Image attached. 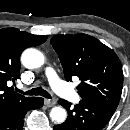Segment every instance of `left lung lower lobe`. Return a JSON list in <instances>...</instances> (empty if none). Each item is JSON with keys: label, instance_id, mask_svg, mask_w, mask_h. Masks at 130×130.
Masks as SVG:
<instances>
[{"label": "left lung lower lobe", "instance_id": "1", "mask_svg": "<svg viewBox=\"0 0 130 130\" xmlns=\"http://www.w3.org/2000/svg\"><path fill=\"white\" fill-rule=\"evenodd\" d=\"M68 111L65 122L54 126V130H102L112 117V111L106 107L87 100L71 107V103L58 101Z\"/></svg>", "mask_w": 130, "mask_h": 130}]
</instances>
